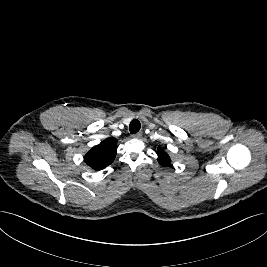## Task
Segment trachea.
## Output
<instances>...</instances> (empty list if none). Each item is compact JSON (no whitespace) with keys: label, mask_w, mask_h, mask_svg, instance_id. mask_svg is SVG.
<instances>
[{"label":"trachea","mask_w":267,"mask_h":267,"mask_svg":"<svg viewBox=\"0 0 267 267\" xmlns=\"http://www.w3.org/2000/svg\"><path fill=\"white\" fill-rule=\"evenodd\" d=\"M140 128H141V124H140L139 120L134 119L130 122L129 130H130L131 134L137 133L140 130Z\"/></svg>","instance_id":"trachea-1"}]
</instances>
